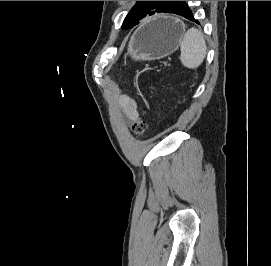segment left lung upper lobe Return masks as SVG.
I'll list each match as a JSON object with an SVG mask.
<instances>
[{
  "label": "left lung upper lobe",
  "instance_id": "1",
  "mask_svg": "<svg viewBox=\"0 0 271 266\" xmlns=\"http://www.w3.org/2000/svg\"><path fill=\"white\" fill-rule=\"evenodd\" d=\"M177 2L178 1H138L126 16L122 29L132 28L149 14L168 12Z\"/></svg>",
  "mask_w": 271,
  "mask_h": 266
}]
</instances>
